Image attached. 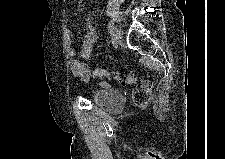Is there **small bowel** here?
Here are the masks:
<instances>
[{"instance_id":"obj_1","label":"small bowel","mask_w":225,"mask_h":159,"mask_svg":"<svg viewBox=\"0 0 225 159\" xmlns=\"http://www.w3.org/2000/svg\"><path fill=\"white\" fill-rule=\"evenodd\" d=\"M67 42L71 43L72 36L68 34L66 36ZM97 37L95 31L90 23L87 24V31L84 40L81 43L80 50L78 52L79 59L76 57V51L70 47L68 49L69 64L71 72L74 76L79 77L82 80H88L91 77V69L87 61L93 57L94 46Z\"/></svg>"}]
</instances>
